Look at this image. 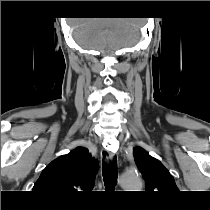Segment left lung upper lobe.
Returning a JSON list of instances; mask_svg holds the SVG:
<instances>
[{"instance_id":"1","label":"left lung upper lobe","mask_w":210,"mask_h":210,"mask_svg":"<svg viewBox=\"0 0 210 210\" xmlns=\"http://www.w3.org/2000/svg\"><path fill=\"white\" fill-rule=\"evenodd\" d=\"M133 155L136 165L146 182L147 192L160 191V193L169 194L178 191L173 176L159 160L150 156L141 147H134Z\"/></svg>"}]
</instances>
